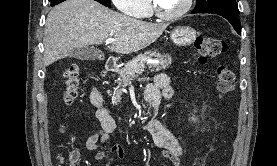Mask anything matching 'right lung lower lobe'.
I'll return each mask as SVG.
<instances>
[{
  "label": "right lung lower lobe",
  "instance_id": "98d812e1",
  "mask_svg": "<svg viewBox=\"0 0 277 166\" xmlns=\"http://www.w3.org/2000/svg\"><path fill=\"white\" fill-rule=\"evenodd\" d=\"M63 1H65V0H56L55 2H51V6H55Z\"/></svg>",
  "mask_w": 277,
  "mask_h": 166
}]
</instances>
